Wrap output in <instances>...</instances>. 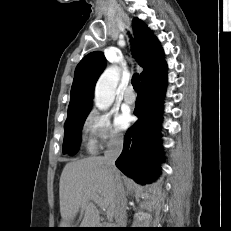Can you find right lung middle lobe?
<instances>
[{
  "instance_id": "obj_1",
  "label": "right lung middle lobe",
  "mask_w": 231,
  "mask_h": 231,
  "mask_svg": "<svg viewBox=\"0 0 231 231\" xmlns=\"http://www.w3.org/2000/svg\"><path fill=\"white\" fill-rule=\"evenodd\" d=\"M90 110L67 116L64 125L63 152L74 155L81 143V131Z\"/></svg>"
}]
</instances>
